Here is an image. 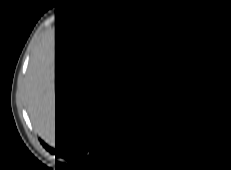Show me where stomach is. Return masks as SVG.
Wrapping results in <instances>:
<instances>
[{
	"label": "stomach",
	"instance_id": "obj_1",
	"mask_svg": "<svg viewBox=\"0 0 231 170\" xmlns=\"http://www.w3.org/2000/svg\"><path fill=\"white\" fill-rule=\"evenodd\" d=\"M131 42H132L133 44H136V43H137L136 40H135L134 38H132ZM151 59H152V56H151ZM153 76H155V74L153 73V71L147 69V70H146V73H145V77L147 78V80H149V79L152 78Z\"/></svg>",
	"mask_w": 231,
	"mask_h": 170
}]
</instances>
